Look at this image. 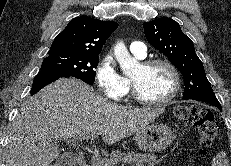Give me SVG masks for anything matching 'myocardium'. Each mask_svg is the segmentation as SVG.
<instances>
[{
  "mask_svg": "<svg viewBox=\"0 0 231 166\" xmlns=\"http://www.w3.org/2000/svg\"><path fill=\"white\" fill-rule=\"evenodd\" d=\"M140 65L144 68H150L156 65L164 66L169 70V72L172 75L173 87L170 93L165 98L159 100H150L140 95L136 83L131 78L133 97L141 104L148 105V106H164L170 103L177 96L181 88V76L176 66L172 62L164 58H152V59L144 60L140 63Z\"/></svg>",
  "mask_w": 231,
  "mask_h": 166,
  "instance_id": "myocardium-1",
  "label": "myocardium"
}]
</instances>
